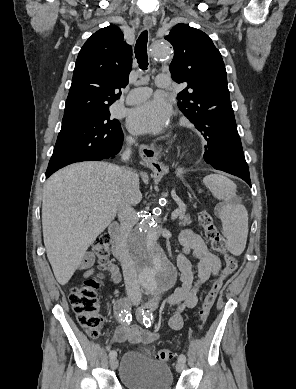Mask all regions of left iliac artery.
<instances>
[{"instance_id": "left-iliac-artery-1", "label": "left iliac artery", "mask_w": 296, "mask_h": 389, "mask_svg": "<svg viewBox=\"0 0 296 389\" xmlns=\"http://www.w3.org/2000/svg\"><path fill=\"white\" fill-rule=\"evenodd\" d=\"M137 318L142 320L147 328L150 327L153 320L152 308L149 307V309H139L137 311ZM178 361L186 362V356L184 354H180Z\"/></svg>"}]
</instances>
